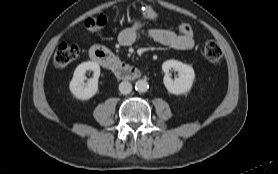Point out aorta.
<instances>
[{
    "label": "aorta",
    "instance_id": "aorta-1",
    "mask_svg": "<svg viewBox=\"0 0 278 174\" xmlns=\"http://www.w3.org/2000/svg\"><path fill=\"white\" fill-rule=\"evenodd\" d=\"M149 88L148 82L146 80H138L135 83V89L137 92L143 93L146 92Z\"/></svg>",
    "mask_w": 278,
    "mask_h": 174
}]
</instances>
